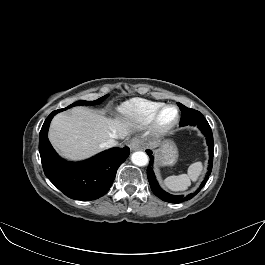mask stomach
Returning <instances> with one entry per match:
<instances>
[{"mask_svg": "<svg viewBox=\"0 0 265 265\" xmlns=\"http://www.w3.org/2000/svg\"><path fill=\"white\" fill-rule=\"evenodd\" d=\"M156 156L158 165H173L178 158L177 147L171 140L163 141L156 151Z\"/></svg>", "mask_w": 265, "mask_h": 265, "instance_id": "0dacf381", "label": "stomach"}]
</instances>
